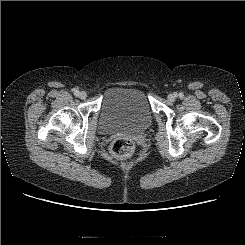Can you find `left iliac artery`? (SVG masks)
<instances>
[{"instance_id": "1", "label": "left iliac artery", "mask_w": 245, "mask_h": 245, "mask_svg": "<svg viewBox=\"0 0 245 245\" xmlns=\"http://www.w3.org/2000/svg\"><path fill=\"white\" fill-rule=\"evenodd\" d=\"M184 95L182 93H179V97L182 98Z\"/></svg>"}]
</instances>
